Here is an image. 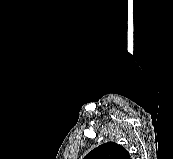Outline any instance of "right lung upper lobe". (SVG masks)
I'll return each instance as SVG.
<instances>
[{"instance_id":"1","label":"right lung upper lobe","mask_w":173,"mask_h":159,"mask_svg":"<svg viewBox=\"0 0 173 159\" xmlns=\"http://www.w3.org/2000/svg\"><path fill=\"white\" fill-rule=\"evenodd\" d=\"M84 159H130V156L122 146L108 142L93 149Z\"/></svg>"}]
</instances>
